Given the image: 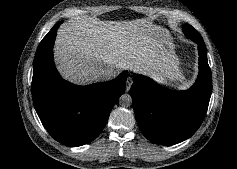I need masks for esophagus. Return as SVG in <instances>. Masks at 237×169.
<instances>
[{
  "instance_id": "34e87169",
  "label": "esophagus",
  "mask_w": 237,
  "mask_h": 169,
  "mask_svg": "<svg viewBox=\"0 0 237 169\" xmlns=\"http://www.w3.org/2000/svg\"><path fill=\"white\" fill-rule=\"evenodd\" d=\"M132 83H133V79L131 77H128L127 78L126 91L130 90Z\"/></svg>"
}]
</instances>
